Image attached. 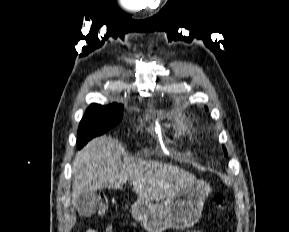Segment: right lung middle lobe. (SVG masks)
I'll list each match as a JSON object with an SVG mask.
<instances>
[{
    "label": "right lung middle lobe",
    "instance_id": "1",
    "mask_svg": "<svg viewBox=\"0 0 289 232\" xmlns=\"http://www.w3.org/2000/svg\"><path fill=\"white\" fill-rule=\"evenodd\" d=\"M123 117V106L116 103L102 106L91 104L82 118L78 129V148L92 138L104 134L116 126Z\"/></svg>",
    "mask_w": 289,
    "mask_h": 232
}]
</instances>
